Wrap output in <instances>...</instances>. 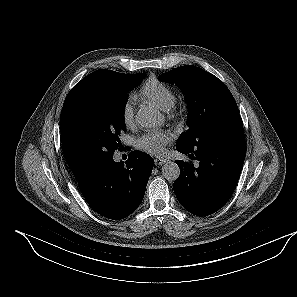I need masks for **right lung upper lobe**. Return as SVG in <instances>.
I'll return each instance as SVG.
<instances>
[{
    "label": "right lung upper lobe",
    "mask_w": 297,
    "mask_h": 297,
    "mask_svg": "<svg viewBox=\"0 0 297 297\" xmlns=\"http://www.w3.org/2000/svg\"><path fill=\"white\" fill-rule=\"evenodd\" d=\"M121 73H117L111 70H97L92 72L91 74L84 77L80 82H78L68 93L65 102L72 99L75 95L80 92L97 89V88H104L110 85L115 79H117ZM69 165V164H68ZM70 167V166H69ZM71 168V167H70ZM75 178L78 179L82 172L75 171L71 169Z\"/></svg>",
    "instance_id": "right-lung-upper-lobe-1"
}]
</instances>
